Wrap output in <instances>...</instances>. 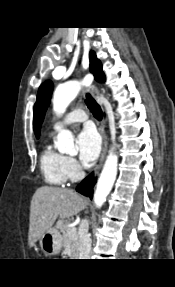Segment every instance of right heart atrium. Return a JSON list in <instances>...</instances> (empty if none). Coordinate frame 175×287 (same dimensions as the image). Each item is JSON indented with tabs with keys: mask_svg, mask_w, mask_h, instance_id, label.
I'll return each mask as SVG.
<instances>
[{
	"mask_svg": "<svg viewBox=\"0 0 175 287\" xmlns=\"http://www.w3.org/2000/svg\"><path fill=\"white\" fill-rule=\"evenodd\" d=\"M65 171L68 179H76L81 172V168L77 160L73 157L65 158Z\"/></svg>",
	"mask_w": 175,
	"mask_h": 287,
	"instance_id": "obj_1",
	"label": "right heart atrium"
}]
</instances>
